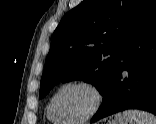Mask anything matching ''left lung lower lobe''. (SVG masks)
<instances>
[{
    "instance_id": "left-lung-lower-lobe-1",
    "label": "left lung lower lobe",
    "mask_w": 156,
    "mask_h": 124,
    "mask_svg": "<svg viewBox=\"0 0 156 124\" xmlns=\"http://www.w3.org/2000/svg\"><path fill=\"white\" fill-rule=\"evenodd\" d=\"M127 109L156 115V4L124 47L91 123Z\"/></svg>"
}]
</instances>
